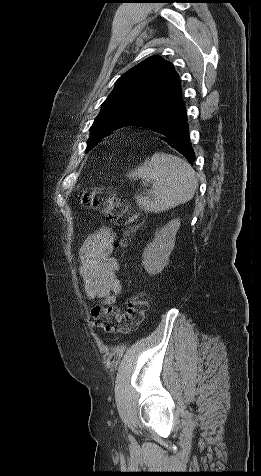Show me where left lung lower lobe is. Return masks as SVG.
Segmentation results:
<instances>
[{
  "mask_svg": "<svg viewBox=\"0 0 261 476\" xmlns=\"http://www.w3.org/2000/svg\"><path fill=\"white\" fill-rule=\"evenodd\" d=\"M127 126H141L155 131L160 134V139L171 148L181 153L189 161L195 160V153L189 139L186 109L182 100L158 116L147 117ZM117 129L119 128L109 129L105 136Z\"/></svg>",
  "mask_w": 261,
  "mask_h": 476,
  "instance_id": "obj_1",
  "label": "left lung lower lobe"
}]
</instances>
